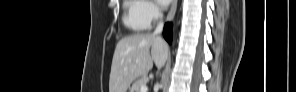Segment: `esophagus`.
I'll return each instance as SVG.
<instances>
[{"mask_svg": "<svg viewBox=\"0 0 296 92\" xmlns=\"http://www.w3.org/2000/svg\"><path fill=\"white\" fill-rule=\"evenodd\" d=\"M176 9H177V0H173L172 1V4H171V7H170V10H169V13L167 15V18H166V21H171L176 13Z\"/></svg>", "mask_w": 296, "mask_h": 92, "instance_id": "34e87169", "label": "esophagus"}]
</instances>
